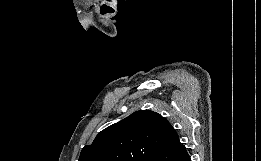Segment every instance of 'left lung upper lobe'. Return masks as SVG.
Here are the masks:
<instances>
[{"instance_id":"obj_1","label":"left lung upper lobe","mask_w":261,"mask_h":161,"mask_svg":"<svg viewBox=\"0 0 261 161\" xmlns=\"http://www.w3.org/2000/svg\"><path fill=\"white\" fill-rule=\"evenodd\" d=\"M177 133L160 114L136 111L102 130L91 145H85L79 161H150L168 146Z\"/></svg>"}]
</instances>
